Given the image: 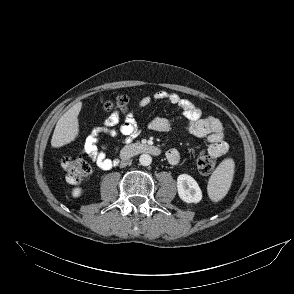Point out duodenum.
Instances as JSON below:
<instances>
[{
  "label": "duodenum",
  "instance_id": "obj_1",
  "mask_svg": "<svg viewBox=\"0 0 294 294\" xmlns=\"http://www.w3.org/2000/svg\"><path fill=\"white\" fill-rule=\"evenodd\" d=\"M160 153L161 150L154 145H149L146 143H136L123 148L120 153V159L126 161L137 154H150L157 156Z\"/></svg>",
  "mask_w": 294,
  "mask_h": 294
}]
</instances>
